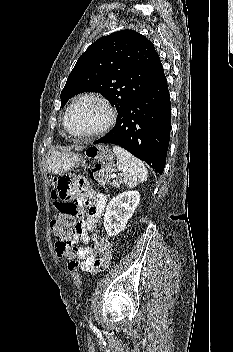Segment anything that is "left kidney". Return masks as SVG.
Masks as SVG:
<instances>
[{
	"instance_id": "1",
	"label": "left kidney",
	"mask_w": 233,
	"mask_h": 352,
	"mask_svg": "<svg viewBox=\"0 0 233 352\" xmlns=\"http://www.w3.org/2000/svg\"><path fill=\"white\" fill-rule=\"evenodd\" d=\"M140 193L136 190L123 192L111 199L104 215V228L110 237H114L126 228L138 203Z\"/></svg>"
}]
</instances>
